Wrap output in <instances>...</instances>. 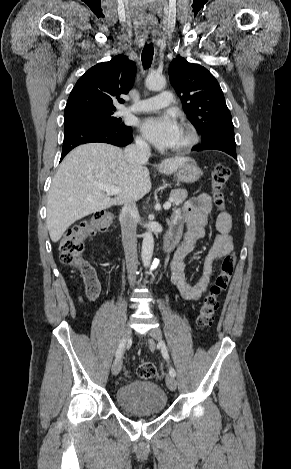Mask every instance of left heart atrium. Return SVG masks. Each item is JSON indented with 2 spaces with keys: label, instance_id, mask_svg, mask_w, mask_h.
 <instances>
[{
  "label": "left heart atrium",
  "instance_id": "1",
  "mask_svg": "<svg viewBox=\"0 0 291 469\" xmlns=\"http://www.w3.org/2000/svg\"><path fill=\"white\" fill-rule=\"evenodd\" d=\"M142 134L155 146L173 147L180 133V126L170 114H160L145 118L140 124Z\"/></svg>",
  "mask_w": 291,
  "mask_h": 469
}]
</instances>
